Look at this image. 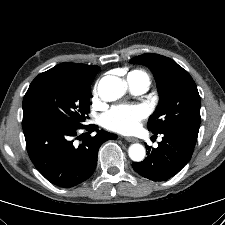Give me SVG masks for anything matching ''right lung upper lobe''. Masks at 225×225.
Returning a JSON list of instances; mask_svg holds the SVG:
<instances>
[{"label": "right lung upper lobe", "mask_w": 225, "mask_h": 225, "mask_svg": "<svg viewBox=\"0 0 225 225\" xmlns=\"http://www.w3.org/2000/svg\"><path fill=\"white\" fill-rule=\"evenodd\" d=\"M59 66L71 67L74 69L83 70V71L92 72V73L96 72V74L99 71V67L96 65L74 64V63L66 62V63L59 64Z\"/></svg>", "instance_id": "right-lung-upper-lobe-1"}]
</instances>
